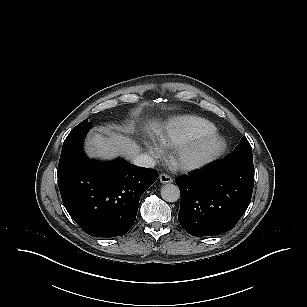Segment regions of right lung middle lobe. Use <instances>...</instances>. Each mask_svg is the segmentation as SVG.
Instances as JSON below:
<instances>
[{"label":"right lung middle lobe","mask_w":307,"mask_h":307,"mask_svg":"<svg viewBox=\"0 0 307 307\" xmlns=\"http://www.w3.org/2000/svg\"><path fill=\"white\" fill-rule=\"evenodd\" d=\"M91 128V123L88 120L82 121L78 124L67 136L63 143V147L70 144L73 141L83 139L87 134L88 130Z\"/></svg>","instance_id":"dd1d6c3e"}]
</instances>
